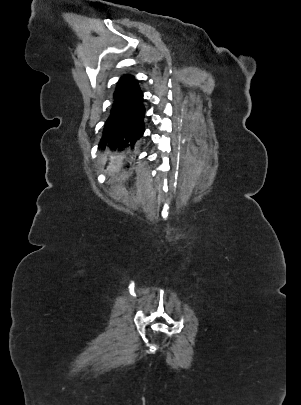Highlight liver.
<instances>
[{
	"label": "liver",
	"mask_w": 301,
	"mask_h": 405,
	"mask_svg": "<svg viewBox=\"0 0 301 405\" xmlns=\"http://www.w3.org/2000/svg\"><path fill=\"white\" fill-rule=\"evenodd\" d=\"M122 160H123V156L111 157V162L107 168L108 173L111 174V173L117 172L121 166Z\"/></svg>",
	"instance_id": "1"
}]
</instances>
